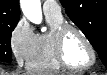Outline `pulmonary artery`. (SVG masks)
<instances>
[{
	"instance_id": "pulmonary-artery-1",
	"label": "pulmonary artery",
	"mask_w": 107,
	"mask_h": 75,
	"mask_svg": "<svg viewBox=\"0 0 107 75\" xmlns=\"http://www.w3.org/2000/svg\"><path fill=\"white\" fill-rule=\"evenodd\" d=\"M43 11L45 15L61 17V7L56 1L47 0L43 3Z\"/></svg>"
}]
</instances>
